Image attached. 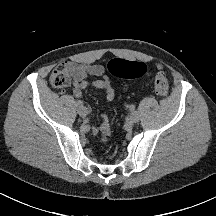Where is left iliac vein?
Masks as SVG:
<instances>
[{
	"mask_svg": "<svg viewBox=\"0 0 216 216\" xmlns=\"http://www.w3.org/2000/svg\"><path fill=\"white\" fill-rule=\"evenodd\" d=\"M140 119L139 113L137 111H133L130 114V120L132 123H137Z\"/></svg>",
	"mask_w": 216,
	"mask_h": 216,
	"instance_id": "4c4485c4",
	"label": "left iliac vein"
}]
</instances>
